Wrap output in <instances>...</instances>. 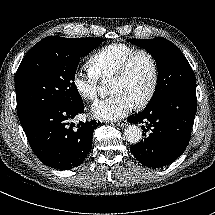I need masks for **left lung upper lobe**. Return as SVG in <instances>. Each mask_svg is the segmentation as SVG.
Segmentation results:
<instances>
[{"label": "left lung upper lobe", "mask_w": 215, "mask_h": 215, "mask_svg": "<svg viewBox=\"0 0 215 215\" xmlns=\"http://www.w3.org/2000/svg\"><path fill=\"white\" fill-rule=\"evenodd\" d=\"M129 41L150 53L158 67L157 86L146 108L168 94L195 86V75L189 62L172 42L162 37L143 40L131 39Z\"/></svg>", "instance_id": "5c2ea615"}]
</instances>
